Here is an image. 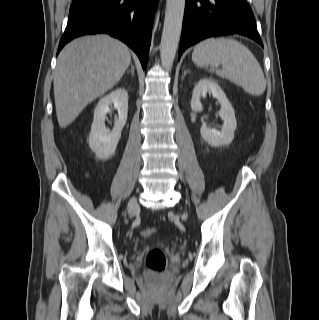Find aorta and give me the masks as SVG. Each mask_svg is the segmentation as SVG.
<instances>
[{
  "mask_svg": "<svg viewBox=\"0 0 319 320\" xmlns=\"http://www.w3.org/2000/svg\"><path fill=\"white\" fill-rule=\"evenodd\" d=\"M185 0H166V10L163 32L160 43L162 66L172 68L180 35L184 15Z\"/></svg>",
  "mask_w": 319,
  "mask_h": 320,
  "instance_id": "aorta-1",
  "label": "aorta"
}]
</instances>
